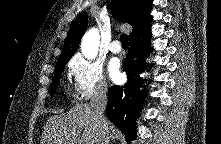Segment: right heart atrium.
<instances>
[{
	"label": "right heart atrium",
	"instance_id": "obj_1",
	"mask_svg": "<svg viewBox=\"0 0 221 144\" xmlns=\"http://www.w3.org/2000/svg\"><path fill=\"white\" fill-rule=\"evenodd\" d=\"M69 69L78 99L88 100L107 92L108 85L100 63L76 55L70 61Z\"/></svg>",
	"mask_w": 221,
	"mask_h": 144
}]
</instances>
